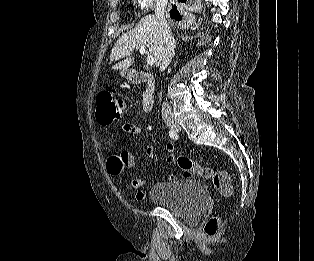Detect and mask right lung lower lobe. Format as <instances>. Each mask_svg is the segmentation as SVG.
<instances>
[{"label": "right lung lower lobe", "mask_w": 314, "mask_h": 261, "mask_svg": "<svg viewBox=\"0 0 314 261\" xmlns=\"http://www.w3.org/2000/svg\"><path fill=\"white\" fill-rule=\"evenodd\" d=\"M179 2L185 3L186 0H179ZM170 17L173 18V19H175V20H177V21L181 20V15H180V13L177 11L176 6H174V9L170 12Z\"/></svg>", "instance_id": "1"}]
</instances>
